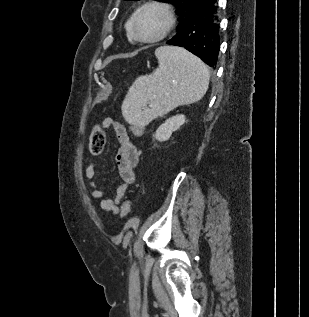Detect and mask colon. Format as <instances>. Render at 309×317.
<instances>
[{"label": "colon", "mask_w": 309, "mask_h": 317, "mask_svg": "<svg viewBox=\"0 0 309 317\" xmlns=\"http://www.w3.org/2000/svg\"><path fill=\"white\" fill-rule=\"evenodd\" d=\"M136 134H140V128H136ZM105 145V133L99 128L95 127L90 136V150L93 154H99ZM121 211L124 216L129 215L130 213V202L128 200H124L121 204Z\"/></svg>", "instance_id": "obj_1"}]
</instances>
